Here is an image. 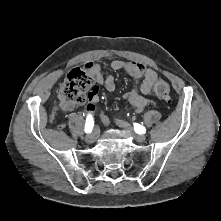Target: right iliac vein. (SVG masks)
<instances>
[{"label": "right iliac vein", "instance_id": "1", "mask_svg": "<svg viewBox=\"0 0 221 221\" xmlns=\"http://www.w3.org/2000/svg\"><path fill=\"white\" fill-rule=\"evenodd\" d=\"M97 137H98V132H97V130L95 129L91 134H89V135L86 136L85 141H86L87 143H93V142L96 141Z\"/></svg>", "mask_w": 221, "mask_h": 221}]
</instances>
